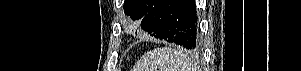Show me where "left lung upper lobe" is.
Here are the masks:
<instances>
[{
  "instance_id": "left-lung-upper-lobe-1",
  "label": "left lung upper lobe",
  "mask_w": 301,
  "mask_h": 71,
  "mask_svg": "<svg viewBox=\"0 0 301 71\" xmlns=\"http://www.w3.org/2000/svg\"><path fill=\"white\" fill-rule=\"evenodd\" d=\"M158 0H125L124 12L132 20L143 19Z\"/></svg>"
}]
</instances>
